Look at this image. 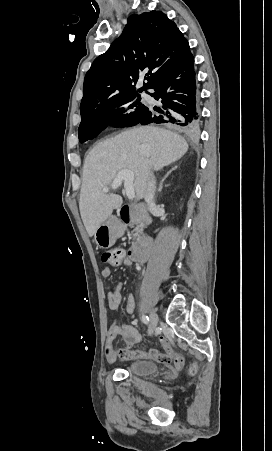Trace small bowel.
<instances>
[{
  "mask_svg": "<svg viewBox=\"0 0 272 451\" xmlns=\"http://www.w3.org/2000/svg\"><path fill=\"white\" fill-rule=\"evenodd\" d=\"M101 276L103 279H109L111 277V267L109 265L104 266L101 271ZM123 288V283L119 280L114 289L108 287V307L111 311L116 312L121 304L122 296L121 290ZM135 309V300L134 297L129 294L127 297V302L125 305V311L127 313H132ZM117 338H121L123 342V347L114 348L112 342ZM142 340L141 334L138 330L130 325L119 324L116 320L109 327L107 333V345H106V359L108 362L113 363L120 358L122 360H132V359H152L158 361L157 355L158 352H174L175 356H178L173 348L170 340L166 338L160 339V344L163 348V351L157 349H149V350H139L132 349L135 345L139 344ZM161 362V361H158ZM162 363V362H161Z\"/></svg>",
  "mask_w": 272,
  "mask_h": 451,
  "instance_id": "c3829d8e",
  "label": "small bowel"
}]
</instances>
